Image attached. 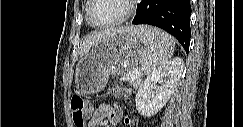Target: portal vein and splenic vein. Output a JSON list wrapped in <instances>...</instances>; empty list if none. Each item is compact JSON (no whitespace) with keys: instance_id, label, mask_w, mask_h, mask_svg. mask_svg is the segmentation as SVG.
Instances as JSON below:
<instances>
[{"instance_id":"obj_1","label":"portal vein and splenic vein","mask_w":243,"mask_h":127,"mask_svg":"<svg viewBox=\"0 0 243 127\" xmlns=\"http://www.w3.org/2000/svg\"><path fill=\"white\" fill-rule=\"evenodd\" d=\"M132 73L134 74V75H136V76H140V71H138V70H133L132 71Z\"/></svg>"}]
</instances>
